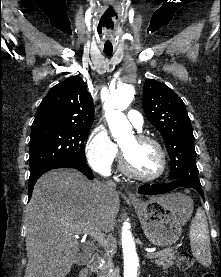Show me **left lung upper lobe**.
<instances>
[{"label": "left lung upper lobe", "mask_w": 221, "mask_h": 277, "mask_svg": "<svg viewBox=\"0 0 221 277\" xmlns=\"http://www.w3.org/2000/svg\"><path fill=\"white\" fill-rule=\"evenodd\" d=\"M142 107L166 143L171 161L168 179L199 181L194 136L182 99L165 84L147 79Z\"/></svg>", "instance_id": "obj_1"}]
</instances>
